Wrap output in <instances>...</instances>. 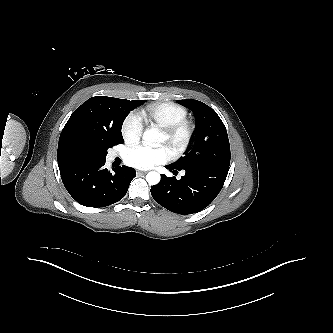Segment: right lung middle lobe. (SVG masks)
Masks as SVG:
<instances>
[{"label": "right lung middle lobe", "mask_w": 333, "mask_h": 333, "mask_svg": "<svg viewBox=\"0 0 333 333\" xmlns=\"http://www.w3.org/2000/svg\"><path fill=\"white\" fill-rule=\"evenodd\" d=\"M146 100H125L115 98L110 108V121L87 131L81 144V153L106 159L107 150L114 145L123 143L122 124L126 116Z\"/></svg>", "instance_id": "dd1d6c3e"}]
</instances>
